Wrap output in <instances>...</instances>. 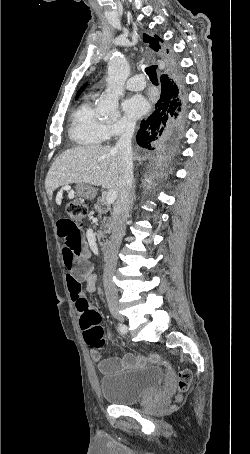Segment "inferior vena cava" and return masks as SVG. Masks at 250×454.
<instances>
[{
	"label": "inferior vena cava",
	"mask_w": 250,
	"mask_h": 454,
	"mask_svg": "<svg viewBox=\"0 0 250 454\" xmlns=\"http://www.w3.org/2000/svg\"><path fill=\"white\" fill-rule=\"evenodd\" d=\"M134 128L135 123L126 124L114 148L121 158L123 174L118 199L113 210L111 245L103 273L104 290L109 305L118 304V292L112 278L116 269L118 250L125 234L132 198L133 164L131 140Z\"/></svg>",
	"instance_id": "obj_1"
}]
</instances>
